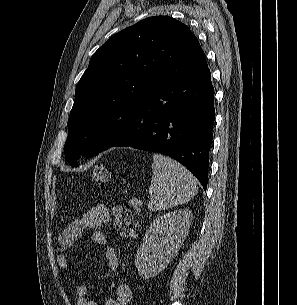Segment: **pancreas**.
Segmentation results:
<instances>
[{
  "mask_svg": "<svg viewBox=\"0 0 297 305\" xmlns=\"http://www.w3.org/2000/svg\"><path fill=\"white\" fill-rule=\"evenodd\" d=\"M130 204L137 210V211H140V209L138 208V201L137 200H133L130 202Z\"/></svg>",
  "mask_w": 297,
  "mask_h": 305,
  "instance_id": "pancreas-1",
  "label": "pancreas"
}]
</instances>
